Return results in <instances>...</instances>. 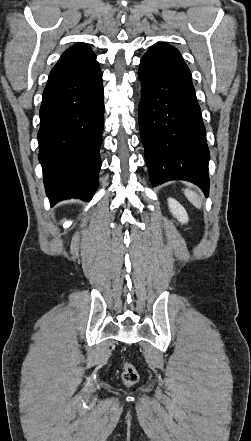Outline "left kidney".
<instances>
[{
    "instance_id": "5707ae66",
    "label": "left kidney",
    "mask_w": 251,
    "mask_h": 441,
    "mask_svg": "<svg viewBox=\"0 0 251 441\" xmlns=\"http://www.w3.org/2000/svg\"><path fill=\"white\" fill-rule=\"evenodd\" d=\"M168 206L172 215L177 218L179 222H181L182 224L188 222V214L184 207L178 201L173 198H169Z\"/></svg>"
}]
</instances>
